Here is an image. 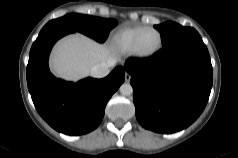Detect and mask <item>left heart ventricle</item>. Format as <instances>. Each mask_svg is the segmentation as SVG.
<instances>
[{
  "instance_id": "1",
  "label": "left heart ventricle",
  "mask_w": 238,
  "mask_h": 158,
  "mask_svg": "<svg viewBox=\"0 0 238 158\" xmlns=\"http://www.w3.org/2000/svg\"><path fill=\"white\" fill-rule=\"evenodd\" d=\"M158 44V35L155 31H146L139 42V49L142 52L152 51Z\"/></svg>"
}]
</instances>
